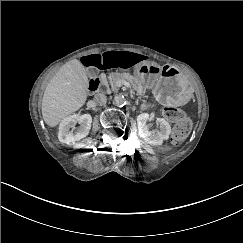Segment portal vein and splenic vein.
Listing matches in <instances>:
<instances>
[{"label":"portal vein and splenic vein","mask_w":243,"mask_h":243,"mask_svg":"<svg viewBox=\"0 0 243 243\" xmlns=\"http://www.w3.org/2000/svg\"><path fill=\"white\" fill-rule=\"evenodd\" d=\"M120 84H124V81H120ZM120 84H115V87H120Z\"/></svg>","instance_id":"18ae733b"}]
</instances>
